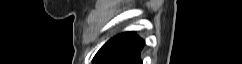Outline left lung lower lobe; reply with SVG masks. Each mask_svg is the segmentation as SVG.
<instances>
[{"label":"left lung lower lobe","mask_w":242,"mask_h":64,"mask_svg":"<svg viewBox=\"0 0 242 64\" xmlns=\"http://www.w3.org/2000/svg\"><path fill=\"white\" fill-rule=\"evenodd\" d=\"M144 45V40L135 32L120 33L100 48L93 64H142L140 52Z\"/></svg>","instance_id":"1"}]
</instances>
